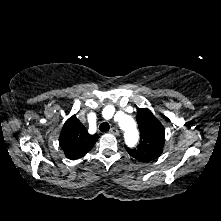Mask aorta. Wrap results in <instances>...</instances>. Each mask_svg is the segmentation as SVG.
<instances>
[{"label": "aorta", "mask_w": 221, "mask_h": 221, "mask_svg": "<svg viewBox=\"0 0 221 221\" xmlns=\"http://www.w3.org/2000/svg\"><path fill=\"white\" fill-rule=\"evenodd\" d=\"M118 123L125 132L126 143L129 146H134L138 141V131L134 120L131 117L124 115L118 120Z\"/></svg>", "instance_id": "762f6f07"}]
</instances>
